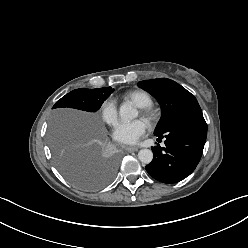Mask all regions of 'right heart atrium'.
I'll use <instances>...</instances> for the list:
<instances>
[{
	"mask_svg": "<svg viewBox=\"0 0 248 248\" xmlns=\"http://www.w3.org/2000/svg\"><path fill=\"white\" fill-rule=\"evenodd\" d=\"M100 116L108 125H115L118 120V109L116 102L112 99L105 100L100 107Z\"/></svg>",
	"mask_w": 248,
	"mask_h": 248,
	"instance_id": "d8ad5b80",
	"label": "right heart atrium"
}]
</instances>
